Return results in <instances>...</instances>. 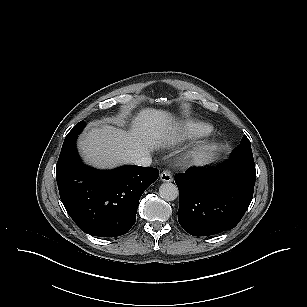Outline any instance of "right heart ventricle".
<instances>
[{"mask_svg":"<svg viewBox=\"0 0 307 307\" xmlns=\"http://www.w3.org/2000/svg\"><path fill=\"white\" fill-rule=\"evenodd\" d=\"M179 130L183 138H198L212 134L213 127L202 121L185 120L180 124Z\"/></svg>","mask_w":307,"mask_h":307,"instance_id":"1","label":"right heart ventricle"}]
</instances>
